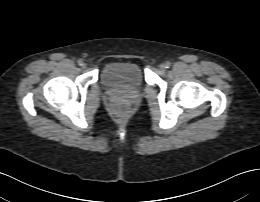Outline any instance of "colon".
Returning a JSON list of instances; mask_svg holds the SVG:
<instances>
[{
    "label": "colon",
    "instance_id": "5ec220e1",
    "mask_svg": "<svg viewBox=\"0 0 260 202\" xmlns=\"http://www.w3.org/2000/svg\"><path fill=\"white\" fill-rule=\"evenodd\" d=\"M113 109L119 118H125L129 113V106L125 103H114Z\"/></svg>",
    "mask_w": 260,
    "mask_h": 202
}]
</instances>
